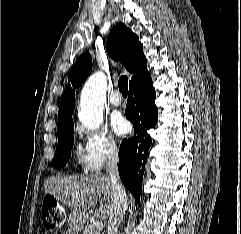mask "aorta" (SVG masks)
Returning <instances> with one entry per match:
<instances>
[{
    "mask_svg": "<svg viewBox=\"0 0 241 234\" xmlns=\"http://www.w3.org/2000/svg\"><path fill=\"white\" fill-rule=\"evenodd\" d=\"M106 89L107 80L102 72L91 75L82 89L78 118L88 129H97L102 124Z\"/></svg>",
    "mask_w": 241,
    "mask_h": 234,
    "instance_id": "1",
    "label": "aorta"
}]
</instances>
